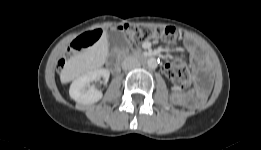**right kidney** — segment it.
I'll list each match as a JSON object with an SVG mask.
<instances>
[{"mask_svg":"<svg viewBox=\"0 0 261 150\" xmlns=\"http://www.w3.org/2000/svg\"><path fill=\"white\" fill-rule=\"evenodd\" d=\"M110 72L107 69L100 68L86 72L75 79L69 89L70 97L78 103L93 104L98 102L103 94L95 88L94 82L103 79L107 83Z\"/></svg>","mask_w":261,"mask_h":150,"instance_id":"1","label":"right kidney"}]
</instances>
